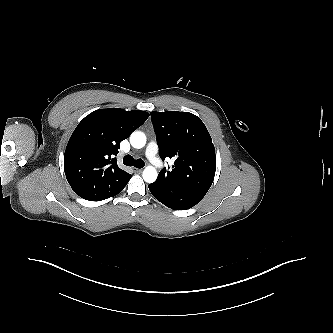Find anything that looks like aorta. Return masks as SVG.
I'll list each match as a JSON object with an SVG mask.
<instances>
[{
  "label": "aorta",
  "mask_w": 333,
  "mask_h": 333,
  "mask_svg": "<svg viewBox=\"0 0 333 333\" xmlns=\"http://www.w3.org/2000/svg\"><path fill=\"white\" fill-rule=\"evenodd\" d=\"M130 143L134 148L140 149L146 144V136L141 131H134L130 136ZM158 173L153 166H147L142 174L145 182L153 183L157 179Z\"/></svg>",
  "instance_id": "obj_1"
}]
</instances>
